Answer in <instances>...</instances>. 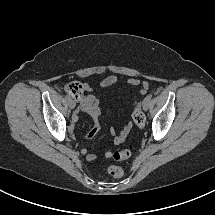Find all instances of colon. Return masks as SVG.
<instances>
[{
    "mask_svg": "<svg viewBox=\"0 0 215 215\" xmlns=\"http://www.w3.org/2000/svg\"><path fill=\"white\" fill-rule=\"evenodd\" d=\"M65 91L72 96L73 98L77 99L78 97L81 96L83 93V85L82 83L78 81H72L69 82L66 87ZM143 93L145 91L143 90ZM132 118L134 123L136 124L137 127L143 128L145 125V116L143 115L141 109H140V102L136 100L134 102V108H133V113H132ZM132 154V151L130 148H125L120 151H115V152H108L107 156L109 158H112L116 161H123L128 159ZM108 173L114 177V178H120L124 175V170L122 167L117 166V165H111L108 168Z\"/></svg>",
    "mask_w": 215,
    "mask_h": 215,
    "instance_id": "5ec220e1",
    "label": "colon"
}]
</instances>
